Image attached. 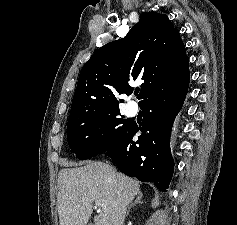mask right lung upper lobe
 <instances>
[{
    "label": "right lung upper lobe",
    "mask_w": 237,
    "mask_h": 225,
    "mask_svg": "<svg viewBox=\"0 0 237 225\" xmlns=\"http://www.w3.org/2000/svg\"><path fill=\"white\" fill-rule=\"evenodd\" d=\"M136 79L144 80L141 100L162 84L190 79L179 31L164 14L145 13L123 39L92 55L81 69L69 120L82 121L118 109L123 100L116 97L132 93L128 81Z\"/></svg>",
    "instance_id": "obj_1"
}]
</instances>
